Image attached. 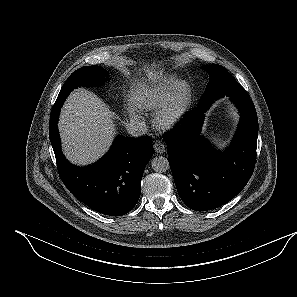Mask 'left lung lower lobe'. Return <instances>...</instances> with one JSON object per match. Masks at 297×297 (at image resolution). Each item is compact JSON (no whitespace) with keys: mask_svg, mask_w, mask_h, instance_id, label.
Returning a JSON list of instances; mask_svg holds the SVG:
<instances>
[{"mask_svg":"<svg viewBox=\"0 0 297 297\" xmlns=\"http://www.w3.org/2000/svg\"><path fill=\"white\" fill-rule=\"evenodd\" d=\"M241 115L235 137L218 152L200 136L204 113L212 102L189 112L181 125L164 135L175 185L183 202L196 211L218 208L233 199L252 176L258 119L249 95L229 96Z\"/></svg>","mask_w":297,"mask_h":297,"instance_id":"0a47b994","label":"left lung lower lobe"}]
</instances>
